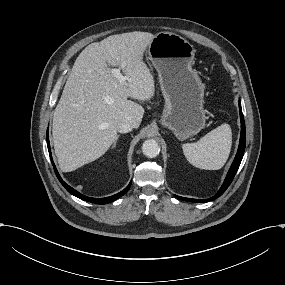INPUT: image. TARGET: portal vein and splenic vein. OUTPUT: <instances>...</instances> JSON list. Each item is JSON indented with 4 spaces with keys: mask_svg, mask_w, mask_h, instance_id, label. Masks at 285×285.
I'll return each mask as SVG.
<instances>
[{
    "mask_svg": "<svg viewBox=\"0 0 285 285\" xmlns=\"http://www.w3.org/2000/svg\"><path fill=\"white\" fill-rule=\"evenodd\" d=\"M112 74L118 79V80H126V78L124 76H122L120 70L118 68H115L112 70Z\"/></svg>",
    "mask_w": 285,
    "mask_h": 285,
    "instance_id": "portal-vein-and-splenic-vein-1",
    "label": "portal vein and splenic vein"
}]
</instances>
